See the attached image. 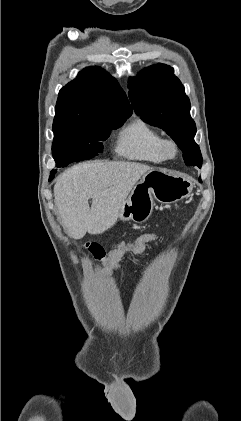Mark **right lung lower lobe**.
I'll return each mask as SVG.
<instances>
[{"mask_svg":"<svg viewBox=\"0 0 241 421\" xmlns=\"http://www.w3.org/2000/svg\"><path fill=\"white\" fill-rule=\"evenodd\" d=\"M55 172H56V170H53V171L51 172V175H50L49 181H51V180L54 178V174H55Z\"/></svg>","mask_w":241,"mask_h":421,"instance_id":"1","label":"right lung lower lobe"}]
</instances>
